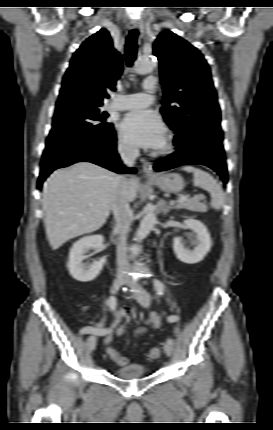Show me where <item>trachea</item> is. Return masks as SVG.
Masks as SVG:
<instances>
[{"label":"trachea","mask_w":273,"mask_h":430,"mask_svg":"<svg viewBox=\"0 0 273 430\" xmlns=\"http://www.w3.org/2000/svg\"><path fill=\"white\" fill-rule=\"evenodd\" d=\"M137 36L138 31L136 29H132L129 32V36L126 40V64L128 66H132L134 60L136 59L137 54Z\"/></svg>","instance_id":"1"}]
</instances>
